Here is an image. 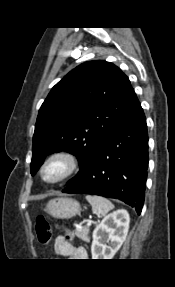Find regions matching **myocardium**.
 <instances>
[{
    "label": "myocardium",
    "instance_id": "obj_1",
    "mask_svg": "<svg viewBox=\"0 0 175 287\" xmlns=\"http://www.w3.org/2000/svg\"><path fill=\"white\" fill-rule=\"evenodd\" d=\"M54 161H62L65 163L66 167L62 175H60L58 178L48 180L44 176V171L46 167ZM80 166H81L80 158L74 152L68 150H60L50 154L44 160L39 169V175L40 178L43 180V182H45L46 184L57 185L74 176L80 169Z\"/></svg>",
    "mask_w": 175,
    "mask_h": 287
}]
</instances>
